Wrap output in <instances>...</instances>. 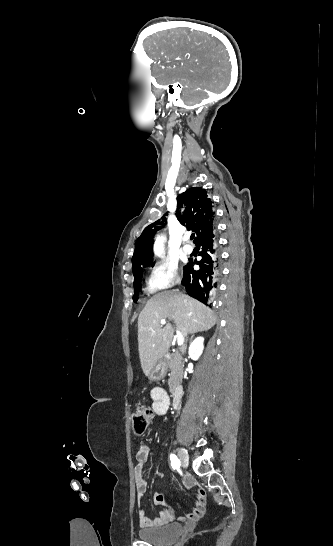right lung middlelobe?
Masks as SVG:
<instances>
[{
  "label": "right lung middle lobe",
  "mask_w": 333,
  "mask_h": 546,
  "mask_svg": "<svg viewBox=\"0 0 333 546\" xmlns=\"http://www.w3.org/2000/svg\"><path fill=\"white\" fill-rule=\"evenodd\" d=\"M135 279H134V290H135V294L133 296V300L136 301L137 300V297H138V293H139V286H140V277H139V274H137L136 276H134Z\"/></svg>",
  "instance_id": "1"
}]
</instances>
